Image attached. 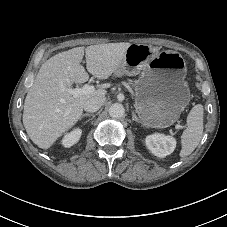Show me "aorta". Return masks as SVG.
I'll use <instances>...</instances> for the list:
<instances>
[{
    "label": "aorta",
    "mask_w": 227,
    "mask_h": 227,
    "mask_svg": "<svg viewBox=\"0 0 227 227\" xmlns=\"http://www.w3.org/2000/svg\"><path fill=\"white\" fill-rule=\"evenodd\" d=\"M125 114L124 106L120 103H114L109 108V115L113 118H121Z\"/></svg>",
    "instance_id": "1"
}]
</instances>
